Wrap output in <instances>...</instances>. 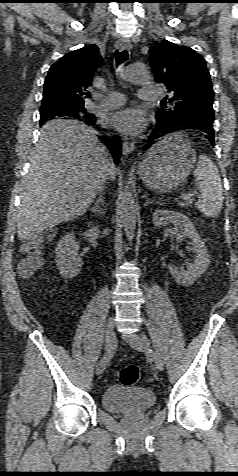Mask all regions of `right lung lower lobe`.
Wrapping results in <instances>:
<instances>
[{"label":"right lung lower lobe","mask_w":238,"mask_h":476,"mask_svg":"<svg viewBox=\"0 0 238 476\" xmlns=\"http://www.w3.org/2000/svg\"><path fill=\"white\" fill-rule=\"evenodd\" d=\"M85 123L88 124V125H91V126L95 125V121H91V122L85 121ZM99 139L101 140L102 143H104L108 147V149L110 150V152H111V154L114 158V162L117 164L118 161H119V158H120V154H121V143H120L119 137H117V136H113V137L103 136V137H99Z\"/></svg>","instance_id":"98d812e1"}]
</instances>
